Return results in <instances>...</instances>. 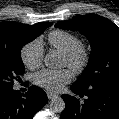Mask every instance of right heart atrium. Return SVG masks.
<instances>
[{"instance_id":"right-heart-atrium-1","label":"right heart atrium","mask_w":119,"mask_h":119,"mask_svg":"<svg viewBox=\"0 0 119 119\" xmlns=\"http://www.w3.org/2000/svg\"><path fill=\"white\" fill-rule=\"evenodd\" d=\"M43 45L40 38L27 42L20 50V58L24 66L34 70L41 66L43 59Z\"/></svg>"}]
</instances>
